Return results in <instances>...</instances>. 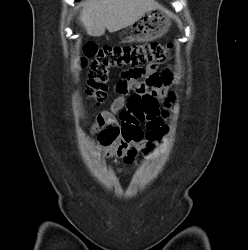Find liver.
Returning <instances> with one entry per match:
<instances>
[{"instance_id": "1", "label": "liver", "mask_w": 248, "mask_h": 250, "mask_svg": "<svg viewBox=\"0 0 248 250\" xmlns=\"http://www.w3.org/2000/svg\"><path fill=\"white\" fill-rule=\"evenodd\" d=\"M79 21L90 36L100 37L105 29L114 33L135 23L151 9L155 0H85L81 2Z\"/></svg>"}]
</instances>
